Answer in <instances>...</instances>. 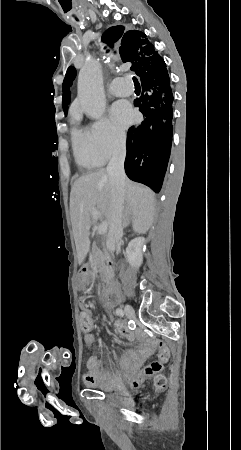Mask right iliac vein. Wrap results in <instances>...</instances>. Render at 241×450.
<instances>
[{
    "label": "right iliac vein",
    "instance_id": "63e3f726",
    "mask_svg": "<svg viewBox=\"0 0 241 450\" xmlns=\"http://www.w3.org/2000/svg\"><path fill=\"white\" fill-rule=\"evenodd\" d=\"M124 310H125L126 316L128 318H130V319L134 318L135 312H134V309L130 305H126Z\"/></svg>",
    "mask_w": 241,
    "mask_h": 450
}]
</instances>
